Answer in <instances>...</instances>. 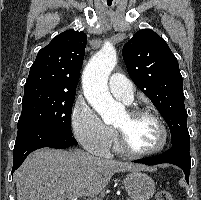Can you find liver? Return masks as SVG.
<instances>
[{
	"label": "liver",
	"mask_w": 201,
	"mask_h": 200,
	"mask_svg": "<svg viewBox=\"0 0 201 200\" xmlns=\"http://www.w3.org/2000/svg\"><path fill=\"white\" fill-rule=\"evenodd\" d=\"M144 165L94 157L81 150L43 148L31 153L15 173L17 200H66L94 196L114 173L141 171Z\"/></svg>",
	"instance_id": "6515ba94"
}]
</instances>
